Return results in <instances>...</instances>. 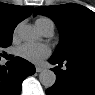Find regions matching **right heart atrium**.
Returning a JSON list of instances; mask_svg holds the SVG:
<instances>
[{
  "label": "right heart atrium",
  "instance_id": "obj_1",
  "mask_svg": "<svg viewBox=\"0 0 95 95\" xmlns=\"http://www.w3.org/2000/svg\"><path fill=\"white\" fill-rule=\"evenodd\" d=\"M19 27H20V25H18V26L14 29V32H13L14 37H17V36H18Z\"/></svg>",
  "mask_w": 95,
  "mask_h": 95
}]
</instances>
